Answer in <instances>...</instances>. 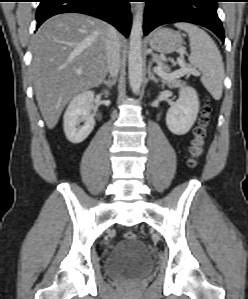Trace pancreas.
I'll list each match as a JSON object with an SVG mask.
<instances>
[{"instance_id": "cf45deb5", "label": "pancreas", "mask_w": 248, "mask_h": 299, "mask_svg": "<svg viewBox=\"0 0 248 299\" xmlns=\"http://www.w3.org/2000/svg\"><path fill=\"white\" fill-rule=\"evenodd\" d=\"M153 60L157 63L158 67H161L166 73L169 71L168 67L163 63V60L159 56L154 55ZM161 78L164 83H167L171 87H181L183 85L178 78Z\"/></svg>"}]
</instances>
